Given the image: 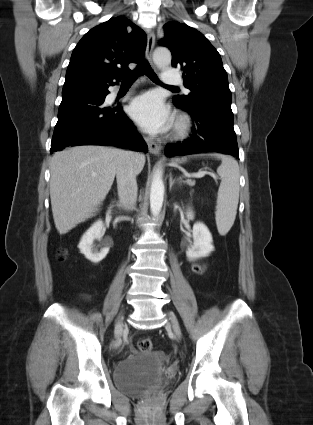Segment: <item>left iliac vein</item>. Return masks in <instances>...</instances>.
<instances>
[{
	"instance_id": "obj_1",
	"label": "left iliac vein",
	"mask_w": 313,
	"mask_h": 425,
	"mask_svg": "<svg viewBox=\"0 0 313 425\" xmlns=\"http://www.w3.org/2000/svg\"><path fill=\"white\" fill-rule=\"evenodd\" d=\"M168 315H169V319H170V322H171V325H172V329H173L175 335L177 336V338L180 339L181 338V330H180V327H179L178 320L172 312H169Z\"/></svg>"
}]
</instances>
